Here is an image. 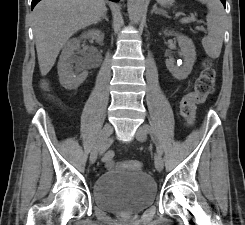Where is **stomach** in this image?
I'll list each match as a JSON object with an SVG mask.
<instances>
[{"mask_svg": "<svg viewBox=\"0 0 245 225\" xmlns=\"http://www.w3.org/2000/svg\"><path fill=\"white\" fill-rule=\"evenodd\" d=\"M173 1H174V0H166V3L171 4V3H173Z\"/></svg>", "mask_w": 245, "mask_h": 225, "instance_id": "0dacf381", "label": "stomach"}]
</instances>
